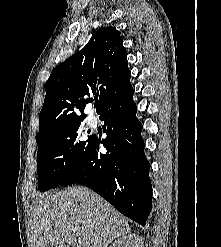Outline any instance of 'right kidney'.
I'll list each match as a JSON object with an SVG mask.
<instances>
[{"instance_id": "obj_1", "label": "right kidney", "mask_w": 221, "mask_h": 247, "mask_svg": "<svg viewBox=\"0 0 221 247\" xmlns=\"http://www.w3.org/2000/svg\"><path fill=\"white\" fill-rule=\"evenodd\" d=\"M110 247H144V245L140 236L129 234L113 242Z\"/></svg>"}]
</instances>
